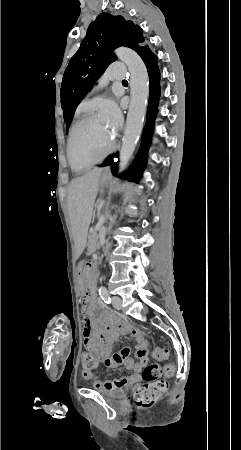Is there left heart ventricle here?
Returning a JSON list of instances; mask_svg holds the SVG:
<instances>
[{
    "instance_id": "left-heart-ventricle-1",
    "label": "left heart ventricle",
    "mask_w": 241,
    "mask_h": 450,
    "mask_svg": "<svg viewBox=\"0 0 241 450\" xmlns=\"http://www.w3.org/2000/svg\"><path fill=\"white\" fill-rule=\"evenodd\" d=\"M79 123L80 128L75 130L79 137L75 141L73 151L78 157L79 165H87L92 168L96 160H103L104 153L110 152L114 131L109 122L104 121L97 113L83 115Z\"/></svg>"
}]
</instances>
